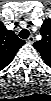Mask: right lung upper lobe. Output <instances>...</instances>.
Listing matches in <instances>:
<instances>
[{
    "mask_svg": "<svg viewBox=\"0 0 51 101\" xmlns=\"http://www.w3.org/2000/svg\"><path fill=\"white\" fill-rule=\"evenodd\" d=\"M24 44V40L19 39L13 31L7 30L3 23H0V70L10 64Z\"/></svg>",
    "mask_w": 51,
    "mask_h": 101,
    "instance_id": "obj_1",
    "label": "right lung upper lobe"
}]
</instances>
